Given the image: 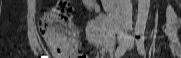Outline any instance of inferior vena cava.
Segmentation results:
<instances>
[{"label": "inferior vena cava", "mask_w": 181, "mask_h": 58, "mask_svg": "<svg viewBox=\"0 0 181 58\" xmlns=\"http://www.w3.org/2000/svg\"><path fill=\"white\" fill-rule=\"evenodd\" d=\"M124 5L121 14V30L124 34L132 29V3L131 0H122Z\"/></svg>", "instance_id": "inferior-vena-cava-1"}]
</instances>
